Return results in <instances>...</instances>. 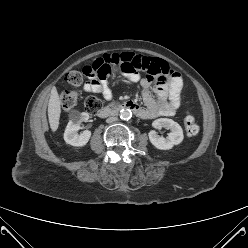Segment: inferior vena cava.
<instances>
[{
    "label": "inferior vena cava",
    "instance_id": "1",
    "mask_svg": "<svg viewBox=\"0 0 248 248\" xmlns=\"http://www.w3.org/2000/svg\"><path fill=\"white\" fill-rule=\"evenodd\" d=\"M117 120H118V118L116 116H111V117L107 118L106 122L107 123H113Z\"/></svg>",
    "mask_w": 248,
    "mask_h": 248
}]
</instances>
